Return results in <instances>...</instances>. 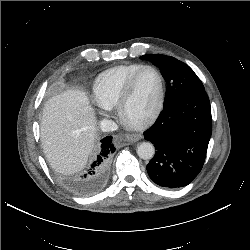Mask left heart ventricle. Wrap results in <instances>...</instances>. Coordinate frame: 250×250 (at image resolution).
Instances as JSON below:
<instances>
[{
    "mask_svg": "<svg viewBox=\"0 0 250 250\" xmlns=\"http://www.w3.org/2000/svg\"><path fill=\"white\" fill-rule=\"evenodd\" d=\"M158 90L159 81L157 75L151 70L142 72L126 105L127 117L136 120L144 116L153 106Z\"/></svg>",
    "mask_w": 250,
    "mask_h": 250,
    "instance_id": "left-heart-ventricle-1",
    "label": "left heart ventricle"
}]
</instances>
